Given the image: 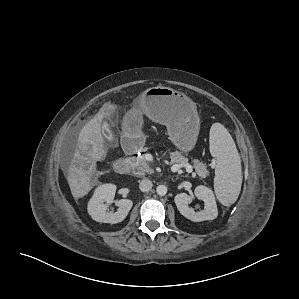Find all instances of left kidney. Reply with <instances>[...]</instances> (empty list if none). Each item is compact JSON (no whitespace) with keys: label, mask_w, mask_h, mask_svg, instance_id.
I'll use <instances>...</instances> for the list:
<instances>
[{"label":"left kidney","mask_w":299,"mask_h":299,"mask_svg":"<svg viewBox=\"0 0 299 299\" xmlns=\"http://www.w3.org/2000/svg\"><path fill=\"white\" fill-rule=\"evenodd\" d=\"M195 196L204 201V209L199 212L189 208L192 202V197L186 193H180L175 196V204L179 212L194 222H201L205 220H213L218 216V209L213 191L206 186L199 185L195 188Z\"/></svg>","instance_id":"obj_1"}]
</instances>
